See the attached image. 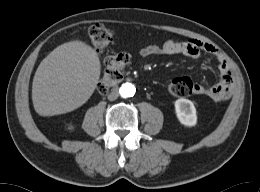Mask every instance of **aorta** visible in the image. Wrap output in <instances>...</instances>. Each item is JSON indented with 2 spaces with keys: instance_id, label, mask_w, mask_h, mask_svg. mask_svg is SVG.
<instances>
[{
  "instance_id": "1",
  "label": "aorta",
  "mask_w": 260,
  "mask_h": 192,
  "mask_svg": "<svg viewBox=\"0 0 260 192\" xmlns=\"http://www.w3.org/2000/svg\"><path fill=\"white\" fill-rule=\"evenodd\" d=\"M136 88L132 83H124L119 89L120 95L123 98L133 97L135 94Z\"/></svg>"
}]
</instances>
